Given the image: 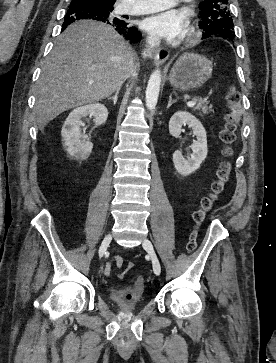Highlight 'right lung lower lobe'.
Instances as JSON below:
<instances>
[{"instance_id":"1","label":"right lung lower lobe","mask_w":276,"mask_h":363,"mask_svg":"<svg viewBox=\"0 0 276 363\" xmlns=\"http://www.w3.org/2000/svg\"><path fill=\"white\" fill-rule=\"evenodd\" d=\"M82 19H93L97 21H101L107 24L114 26L115 30L123 35L126 39L130 40L132 43H137L141 40L142 35L141 33L134 27H129L127 23L124 21L115 22L111 20V18H104L99 14L94 8L89 6L84 7H76V8H69L65 17L64 23L62 26V31L71 23L77 20Z\"/></svg>"}]
</instances>
